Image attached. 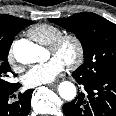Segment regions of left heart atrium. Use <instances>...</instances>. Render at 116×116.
Instances as JSON below:
<instances>
[{"label": "left heart atrium", "mask_w": 116, "mask_h": 116, "mask_svg": "<svg viewBox=\"0 0 116 116\" xmlns=\"http://www.w3.org/2000/svg\"><path fill=\"white\" fill-rule=\"evenodd\" d=\"M66 62L54 55L48 61L32 66L23 76V82L28 87L48 84L57 79L64 71Z\"/></svg>", "instance_id": "1"}]
</instances>
